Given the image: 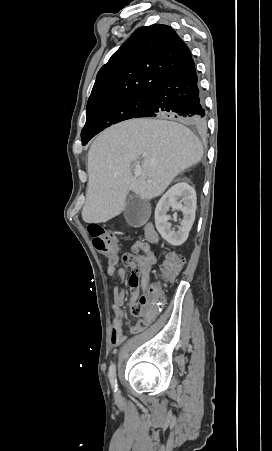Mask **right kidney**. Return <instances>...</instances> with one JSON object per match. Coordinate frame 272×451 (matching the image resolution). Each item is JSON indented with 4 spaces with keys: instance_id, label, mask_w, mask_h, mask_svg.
<instances>
[{
    "instance_id": "right-kidney-1",
    "label": "right kidney",
    "mask_w": 272,
    "mask_h": 451,
    "mask_svg": "<svg viewBox=\"0 0 272 451\" xmlns=\"http://www.w3.org/2000/svg\"><path fill=\"white\" fill-rule=\"evenodd\" d=\"M170 208L180 210L183 214V220H179L180 226H177V229L171 227L169 222L171 216H168L167 212ZM196 208V192L186 182L175 184L162 196L155 210V226L168 243L181 245L186 241L194 224Z\"/></svg>"
}]
</instances>
